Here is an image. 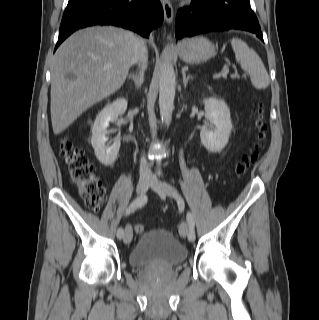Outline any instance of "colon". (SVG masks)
<instances>
[{
	"instance_id": "colon-1",
	"label": "colon",
	"mask_w": 319,
	"mask_h": 320,
	"mask_svg": "<svg viewBox=\"0 0 319 320\" xmlns=\"http://www.w3.org/2000/svg\"><path fill=\"white\" fill-rule=\"evenodd\" d=\"M253 120L257 130V140L262 142L265 138L266 123L261 108L254 110ZM61 154L81 198L92 210L98 211L105 202V189L96 176L94 164L65 137L61 140ZM245 169L246 162H242L238 165L237 172L242 174ZM144 230L141 224L134 226V231L138 234H142Z\"/></svg>"
}]
</instances>
